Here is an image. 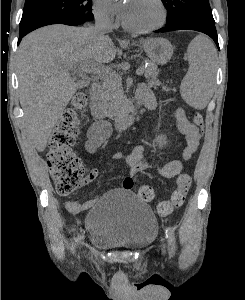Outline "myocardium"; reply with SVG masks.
<instances>
[{"instance_id": "1", "label": "myocardium", "mask_w": 245, "mask_h": 300, "mask_svg": "<svg viewBox=\"0 0 245 300\" xmlns=\"http://www.w3.org/2000/svg\"><path fill=\"white\" fill-rule=\"evenodd\" d=\"M155 2L157 3V5L159 6L160 11H161V18L156 24H154L152 26H148V27H135V26L127 24L124 21L123 17L121 16L122 26L126 30L134 32V33H149V32H152V31L162 28L167 21V16H168L167 9H166V6H165L163 0H155Z\"/></svg>"}]
</instances>
